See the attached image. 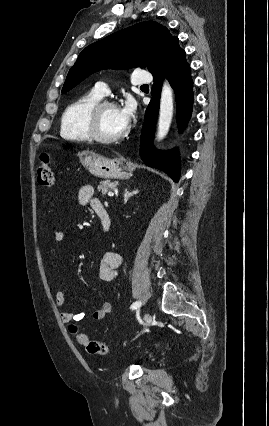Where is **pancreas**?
I'll return each mask as SVG.
<instances>
[{
	"instance_id": "pancreas-1",
	"label": "pancreas",
	"mask_w": 269,
	"mask_h": 426,
	"mask_svg": "<svg viewBox=\"0 0 269 426\" xmlns=\"http://www.w3.org/2000/svg\"><path fill=\"white\" fill-rule=\"evenodd\" d=\"M117 184V182H111L110 180L101 181L98 186V191L101 192L102 195H106L108 191L115 189Z\"/></svg>"
}]
</instances>
